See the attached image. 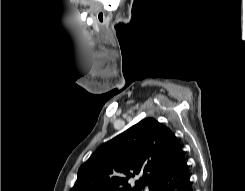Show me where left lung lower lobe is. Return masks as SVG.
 I'll return each instance as SVG.
<instances>
[{"mask_svg":"<svg viewBox=\"0 0 245 191\" xmlns=\"http://www.w3.org/2000/svg\"><path fill=\"white\" fill-rule=\"evenodd\" d=\"M152 191H193L183 151L172 166L162 174Z\"/></svg>","mask_w":245,"mask_h":191,"instance_id":"1","label":"left lung lower lobe"}]
</instances>
